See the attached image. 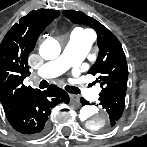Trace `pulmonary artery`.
Masks as SVG:
<instances>
[{
  "label": "pulmonary artery",
  "mask_w": 147,
  "mask_h": 147,
  "mask_svg": "<svg viewBox=\"0 0 147 147\" xmlns=\"http://www.w3.org/2000/svg\"><path fill=\"white\" fill-rule=\"evenodd\" d=\"M91 44L92 36L90 34L82 30H74L61 56L43 65L38 76L51 78L63 74L70 68L76 70L89 52ZM81 93L90 100L97 97L96 91L92 89H83Z\"/></svg>",
  "instance_id": "obj_1"
}]
</instances>
